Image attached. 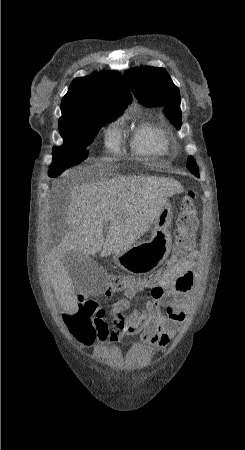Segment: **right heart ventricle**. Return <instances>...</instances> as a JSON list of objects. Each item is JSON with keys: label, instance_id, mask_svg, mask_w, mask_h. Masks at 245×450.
Here are the masks:
<instances>
[{"label": "right heart ventricle", "instance_id": "e07e8e85", "mask_svg": "<svg viewBox=\"0 0 245 450\" xmlns=\"http://www.w3.org/2000/svg\"><path fill=\"white\" fill-rule=\"evenodd\" d=\"M131 147L140 155L162 154L167 150V140L160 128L145 124L136 130Z\"/></svg>", "mask_w": 245, "mask_h": 450}]
</instances>
